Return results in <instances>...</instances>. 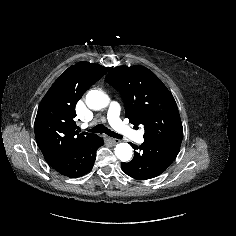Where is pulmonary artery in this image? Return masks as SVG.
<instances>
[{
  "label": "pulmonary artery",
  "mask_w": 236,
  "mask_h": 236,
  "mask_svg": "<svg viewBox=\"0 0 236 236\" xmlns=\"http://www.w3.org/2000/svg\"><path fill=\"white\" fill-rule=\"evenodd\" d=\"M120 105L115 102L112 101L109 104V108H108V120L111 124V126L118 132L120 133L122 136L132 139L138 143H142L143 142V135L141 132H137L135 130H133L132 128H130L129 126L125 125L121 119H120Z\"/></svg>",
  "instance_id": "pulmonary-artery-1"
}]
</instances>
